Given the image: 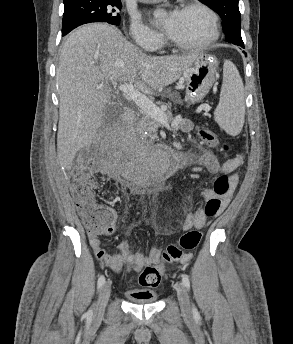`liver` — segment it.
<instances>
[{"mask_svg":"<svg viewBox=\"0 0 293 344\" xmlns=\"http://www.w3.org/2000/svg\"><path fill=\"white\" fill-rule=\"evenodd\" d=\"M198 55H147L106 24L74 31L62 47L56 75L60 165L70 170L77 152L94 139L111 104L109 83L134 84L137 91L153 94L179 79Z\"/></svg>","mask_w":293,"mask_h":344,"instance_id":"6515ba94","label":"liver"}]
</instances>
